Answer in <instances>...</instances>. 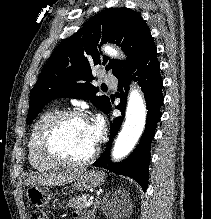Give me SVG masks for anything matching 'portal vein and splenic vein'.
Masks as SVG:
<instances>
[{
    "label": "portal vein and splenic vein",
    "mask_w": 211,
    "mask_h": 219,
    "mask_svg": "<svg viewBox=\"0 0 211 219\" xmlns=\"http://www.w3.org/2000/svg\"><path fill=\"white\" fill-rule=\"evenodd\" d=\"M93 200H94V197L91 196V197L89 198V200L86 202V207L91 206V205L93 204Z\"/></svg>",
    "instance_id": "18ae733b"
}]
</instances>
